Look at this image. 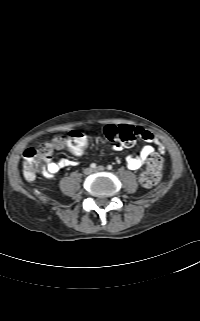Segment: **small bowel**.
Returning a JSON list of instances; mask_svg holds the SVG:
<instances>
[{"label":"small bowel","instance_id":"obj_1","mask_svg":"<svg viewBox=\"0 0 200 321\" xmlns=\"http://www.w3.org/2000/svg\"><path fill=\"white\" fill-rule=\"evenodd\" d=\"M140 131V137L146 141V145L140 150L137 155H129L126 158L127 167L130 170H138L142 167L149 159V157L154 153V147L164 153V146L159 142V140L148 130L138 128ZM54 149L60 150L64 148L65 142L62 138L56 137L52 140ZM122 147L120 145H115L114 150L120 151ZM73 162L67 158H62L58 161H49L46 167L42 170V174L46 178H52L61 169L65 167L72 166Z\"/></svg>","mask_w":200,"mask_h":321}]
</instances>
